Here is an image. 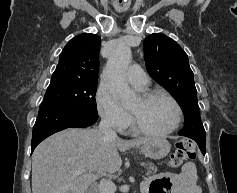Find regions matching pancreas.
<instances>
[{
    "label": "pancreas",
    "instance_id": "obj_1",
    "mask_svg": "<svg viewBox=\"0 0 237 193\" xmlns=\"http://www.w3.org/2000/svg\"><path fill=\"white\" fill-rule=\"evenodd\" d=\"M144 165L146 168V172H145L146 175H150L158 171L157 167L152 162H147Z\"/></svg>",
    "mask_w": 237,
    "mask_h": 193
}]
</instances>
